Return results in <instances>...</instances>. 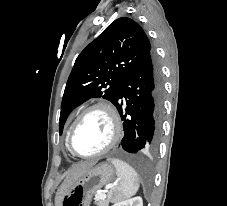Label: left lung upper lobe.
I'll return each instance as SVG.
<instances>
[{
  "mask_svg": "<svg viewBox=\"0 0 227 206\" xmlns=\"http://www.w3.org/2000/svg\"><path fill=\"white\" fill-rule=\"evenodd\" d=\"M151 53L138 23L126 17L113 21L75 61L61 103L60 135L70 112L86 100L102 97L115 105L127 75Z\"/></svg>",
  "mask_w": 227,
  "mask_h": 206,
  "instance_id": "1",
  "label": "left lung upper lobe"
}]
</instances>
